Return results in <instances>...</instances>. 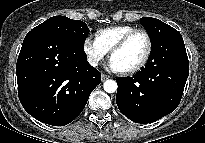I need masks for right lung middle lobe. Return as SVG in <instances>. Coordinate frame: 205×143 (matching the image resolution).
Instances as JSON below:
<instances>
[{"label": "right lung middle lobe", "mask_w": 205, "mask_h": 143, "mask_svg": "<svg viewBox=\"0 0 205 143\" xmlns=\"http://www.w3.org/2000/svg\"><path fill=\"white\" fill-rule=\"evenodd\" d=\"M33 30L53 32L81 48L84 47V41L90 32L85 22L72 20L65 16H53Z\"/></svg>", "instance_id": "obj_1"}]
</instances>
